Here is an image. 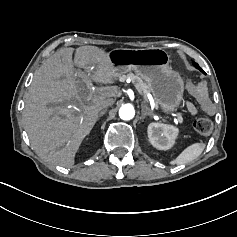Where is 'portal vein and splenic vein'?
Here are the masks:
<instances>
[{"instance_id": "obj_1", "label": "portal vein and splenic vein", "mask_w": 237, "mask_h": 237, "mask_svg": "<svg viewBox=\"0 0 237 237\" xmlns=\"http://www.w3.org/2000/svg\"><path fill=\"white\" fill-rule=\"evenodd\" d=\"M136 85V84H135ZM137 87V86H136ZM138 88V87H137ZM138 90V89H137ZM138 92V91H137ZM139 92H140V90H139ZM140 94L142 95V93L140 92ZM143 97H144V95H143ZM145 98V97H144ZM146 99V98H145ZM146 101V100H145ZM172 112H174V111H172ZM174 113H176V112H174ZM177 118H178V120H179V125H182V116H181V114H179V113H177V116H176Z\"/></svg>"}]
</instances>
